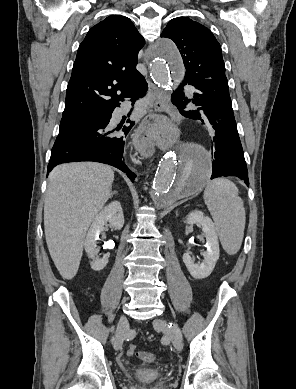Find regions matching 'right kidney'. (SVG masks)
<instances>
[{"label": "right kidney", "mask_w": 296, "mask_h": 389, "mask_svg": "<svg viewBox=\"0 0 296 389\" xmlns=\"http://www.w3.org/2000/svg\"><path fill=\"white\" fill-rule=\"evenodd\" d=\"M109 224L114 230H120L124 225V215L120 202L113 201L105 206L94 218V221L87 233L84 246L89 258L92 259L90 263L94 271L104 269L108 263L109 254H105L102 258H95L96 256V241L99 235L104 231V226Z\"/></svg>", "instance_id": "right-kidney-1"}]
</instances>
